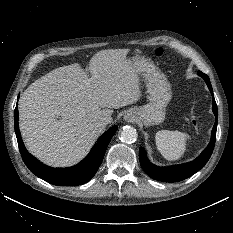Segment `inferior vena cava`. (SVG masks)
Returning <instances> with one entry per match:
<instances>
[{
    "label": "inferior vena cava",
    "instance_id": "obj_1",
    "mask_svg": "<svg viewBox=\"0 0 233 233\" xmlns=\"http://www.w3.org/2000/svg\"><path fill=\"white\" fill-rule=\"evenodd\" d=\"M112 122V118L110 116H103L98 120V126L101 128H105L109 123Z\"/></svg>",
    "mask_w": 233,
    "mask_h": 233
}]
</instances>
